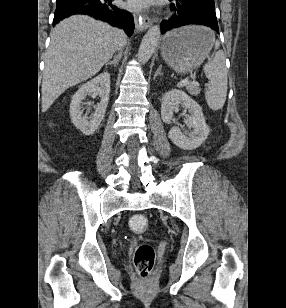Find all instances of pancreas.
<instances>
[{
	"label": "pancreas",
	"instance_id": "cf45deb5",
	"mask_svg": "<svg viewBox=\"0 0 286 308\" xmlns=\"http://www.w3.org/2000/svg\"><path fill=\"white\" fill-rule=\"evenodd\" d=\"M187 90L191 95L197 96L199 94V89L196 86H188Z\"/></svg>",
	"mask_w": 286,
	"mask_h": 308
}]
</instances>
